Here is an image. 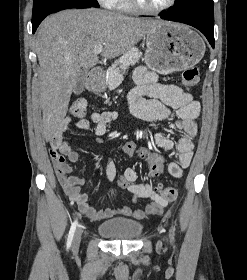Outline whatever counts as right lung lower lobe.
<instances>
[{"label": "right lung lower lobe", "instance_id": "1", "mask_svg": "<svg viewBox=\"0 0 247 280\" xmlns=\"http://www.w3.org/2000/svg\"><path fill=\"white\" fill-rule=\"evenodd\" d=\"M89 7H91V6H88V5H68V6H63V7L59 8V9L53 11V12H56V11H59V10H62V9H68V8H89ZM41 21L42 20H38L36 22H32V31H33V33L36 31V29H37V27H38V25L40 24Z\"/></svg>", "mask_w": 247, "mask_h": 280}]
</instances>
